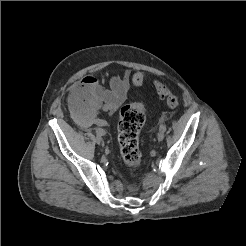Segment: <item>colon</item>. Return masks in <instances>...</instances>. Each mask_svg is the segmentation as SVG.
Returning a JSON list of instances; mask_svg holds the SVG:
<instances>
[{"label": "colon", "mask_w": 246, "mask_h": 246, "mask_svg": "<svg viewBox=\"0 0 246 246\" xmlns=\"http://www.w3.org/2000/svg\"><path fill=\"white\" fill-rule=\"evenodd\" d=\"M146 79L144 72H137L132 77L135 86H141ZM155 90L161 100L171 108L179 105V99L161 80L154 81ZM145 123V107L142 102H134L122 107L118 124V141L120 152L129 168H137L141 163L138 137Z\"/></svg>", "instance_id": "obj_1"}]
</instances>
